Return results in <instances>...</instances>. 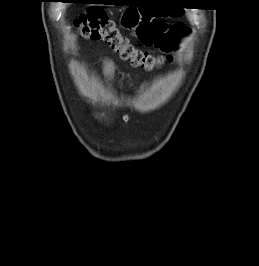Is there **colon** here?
I'll list each match as a JSON object with an SVG mask.
<instances>
[{
    "mask_svg": "<svg viewBox=\"0 0 259 266\" xmlns=\"http://www.w3.org/2000/svg\"><path fill=\"white\" fill-rule=\"evenodd\" d=\"M74 28L76 34L82 38L104 41L133 66L153 70L165 61L163 56H155L135 47L127 37L121 34L116 24L102 9H91L86 12L75 21ZM186 33V27L181 24L167 28L156 14L146 16L138 27V35L144 43L166 53L175 51Z\"/></svg>",
    "mask_w": 259,
    "mask_h": 266,
    "instance_id": "colon-1",
    "label": "colon"
}]
</instances>
